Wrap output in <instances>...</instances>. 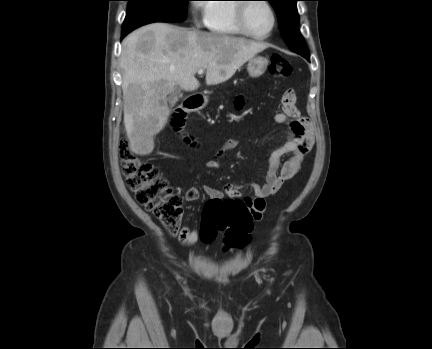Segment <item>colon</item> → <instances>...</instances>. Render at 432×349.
<instances>
[{"mask_svg": "<svg viewBox=\"0 0 432 349\" xmlns=\"http://www.w3.org/2000/svg\"><path fill=\"white\" fill-rule=\"evenodd\" d=\"M269 71L273 77L287 78L292 67L284 56L274 54ZM119 156L126 184L136 201L153 213L169 233L176 234L183 215L181 197L155 165L140 160L131 151L127 140L121 141ZM252 228V212L244 200L225 198L205 205L201 227L204 242L213 241L217 232H222L227 247L241 248L250 241Z\"/></svg>", "mask_w": 432, "mask_h": 349, "instance_id": "colon-1", "label": "colon"}]
</instances>
